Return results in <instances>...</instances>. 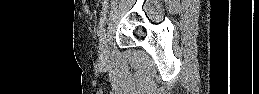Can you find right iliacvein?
<instances>
[{
  "label": "right iliac vein",
  "instance_id": "right-iliac-vein-1",
  "mask_svg": "<svg viewBox=\"0 0 259 94\" xmlns=\"http://www.w3.org/2000/svg\"><path fill=\"white\" fill-rule=\"evenodd\" d=\"M99 53L101 59L105 60L107 58V39L105 33L101 34L99 43Z\"/></svg>",
  "mask_w": 259,
  "mask_h": 94
}]
</instances>
